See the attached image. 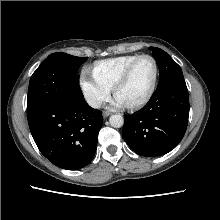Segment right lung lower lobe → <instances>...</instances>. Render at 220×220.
Masks as SVG:
<instances>
[{"label": "right lung lower lobe", "mask_w": 220, "mask_h": 220, "mask_svg": "<svg viewBox=\"0 0 220 220\" xmlns=\"http://www.w3.org/2000/svg\"><path fill=\"white\" fill-rule=\"evenodd\" d=\"M27 118L37 147L54 165L77 170L92 161L102 112L85 100L71 104L45 102L27 108Z\"/></svg>", "instance_id": "obj_1"}]
</instances>
